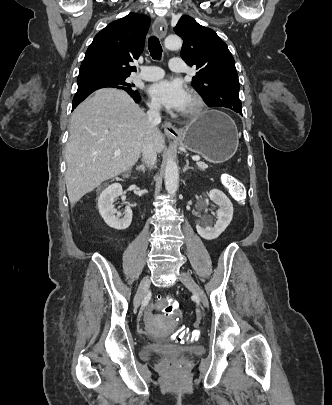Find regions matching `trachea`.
<instances>
[{"label":"trachea","mask_w":332,"mask_h":405,"mask_svg":"<svg viewBox=\"0 0 332 405\" xmlns=\"http://www.w3.org/2000/svg\"><path fill=\"white\" fill-rule=\"evenodd\" d=\"M148 49L150 52V55L153 59L159 60L161 59L162 56V47L159 42V39L155 36H151L148 40Z\"/></svg>","instance_id":"obj_1"}]
</instances>
